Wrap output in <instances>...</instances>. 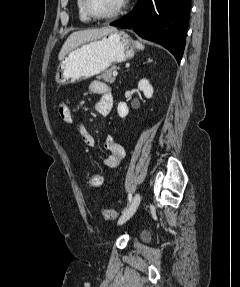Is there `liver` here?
Masks as SVG:
<instances>
[{"label": "liver", "instance_id": "6515ba94", "mask_svg": "<svg viewBox=\"0 0 240 287\" xmlns=\"http://www.w3.org/2000/svg\"><path fill=\"white\" fill-rule=\"evenodd\" d=\"M116 30L117 29L115 27L106 26L73 32L63 44L59 52L58 59L62 60L71 50L82 45L83 43L99 39Z\"/></svg>", "mask_w": 240, "mask_h": 287}]
</instances>
